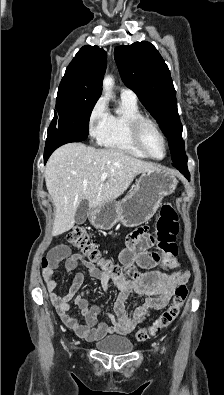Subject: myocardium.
<instances>
[{"mask_svg":"<svg viewBox=\"0 0 224 395\" xmlns=\"http://www.w3.org/2000/svg\"><path fill=\"white\" fill-rule=\"evenodd\" d=\"M147 127H151L162 139L163 144H164V155L161 158H156L154 157L147 149L145 142H144V131ZM130 134H131V138L134 142V144L148 157L151 158L153 160H163L166 155H167V151H168V144H167V139L165 137V135L163 134V132L161 131V129L159 128L158 124L147 117H138L134 120H132L131 124H130Z\"/></svg>","mask_w":224,"mask_h":395,"instance_id":"obj_1","label":"myocardium"}]
</instances>
